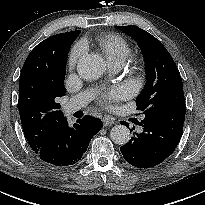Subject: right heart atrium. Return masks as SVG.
I'll use <instances>...</instances> for the list:
<instances>
[{
    "label": "right heart atrium",
    "mask_w": 205,
    "mask_h": 205,
    "mask_svg": "<svg viewBox=\"0 0 205 205\" xmlns=\"http://www.w3.org/2000/svg\"><path fill=\"white\" fill-rule=\"evenodd\" d=\"M85 51V47L81 43H77L70 51L68 63L70 67H74Z\"/></svg>",
    "instance_id": "1"
}]
</instances>
